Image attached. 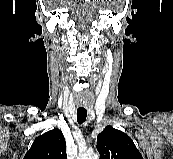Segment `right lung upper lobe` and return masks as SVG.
<instances>
[{"label":"right lung upper lobe","mask_w":173,"mask_h":159,"mask_svg":"<svg viewBox=\"0 0 173 159\" xmlns=\"http://www.w3.org/2000/svg\"><path fill=\"white\" fill-rule=\"evenodd\" d=\"M66 142L62 132L54 128L37 137L24 159H66Z\"/></svg>","instance_id":"1"}]
</instances>
